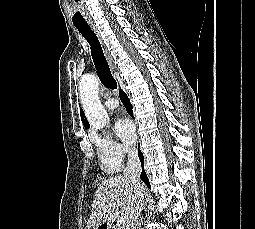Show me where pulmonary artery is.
Masks as SVG:
<instances>
[{
    "instance_id": "e3ab8cb5",
    "label": "pulmonary artery",
    "mask_w": 255,
    "mask_h": 229,
    "mask_svg": "<svg viewBox=\"0 0 255 229\" xmlns=\"http://www.w3.org/2000/svg\"><path fill=\"white\" fill-rule=\"evenodd\" d=\"M104 104L109 110H115L118 107V101L115 98H107Z\"/></svg>"
}]
</instances>
